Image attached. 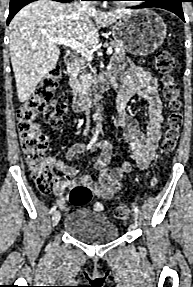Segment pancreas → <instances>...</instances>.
Returning <instances> with one entry per match:
<instances>
[{"label": "pancreas", "mask_w": 193, "mask_h": 287, "mask_svg": "<svg viewBox=\"0 0 193 287\" xmlns=\"http://www.w3.org/2000/svg\"><path fill=\"white\" fill-rule=\"evenodd\" d=\"M111 46L115 49L113 57H124L125 56L126 48L122 42L113 41L111 42ZM81 69L82 68L79 65H76L72 67L71 72H70L72 76L73 84L75 85L78 91L89 89L96 79L95 71L93 69H91V71L94 74L86 73L82 75L80 74Z\"/></svg>", "instance_id": "cf45deb5"}]
</instances>
